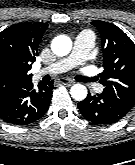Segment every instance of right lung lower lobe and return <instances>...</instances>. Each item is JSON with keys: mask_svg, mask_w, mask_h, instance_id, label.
<instances>
[{"mask_svg": "<svg viewBox=\"0 0 135 165\" xmlns=\"http://www.w3.org/2000/svg\"><path fill=\"white\" fill-rule=\"evenodd\" d=\"M53 81L40 82L34 88L30 81L0 83V117L12 124H29L40 119L48 110Z\"/></svg>", "mask_w": 135, "mask_h": 165, "instance_id": "right-lung-lower-lobe-1", "label": "right lung lower lobe"}]
</instances>
